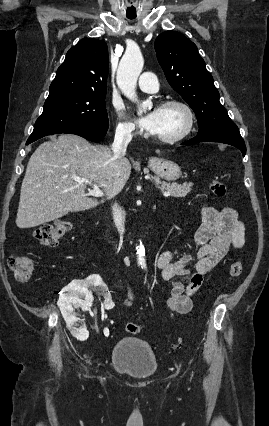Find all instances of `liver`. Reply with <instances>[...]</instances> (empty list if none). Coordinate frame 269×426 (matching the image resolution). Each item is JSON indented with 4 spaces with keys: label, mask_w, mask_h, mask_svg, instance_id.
I'll list each match as a JSON object with an SVG mask.
<instances>
[{
    "label": "liver",
    "mask_w": 269,
    "mask_h": 426,
    "mask_svg": "<svg viewBox=\"0 0 269 426\" xmlns=\"http://www.w3.org/2000/svg\"><path fill=\"white\" fill-rule=\"evenodd\" d=\"M131 174L127 158H115L108 146L93 145L80 136L62 134L42 143L31 155L20 191L16 225L32 228L98 206L85 193L92 181L106 194L115 196Z\"/></svg>",
    "instance_id": "1"
}]
</instances>
